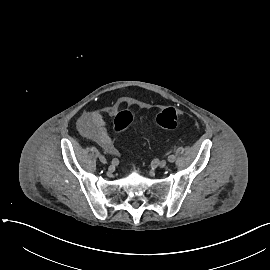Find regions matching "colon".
Segmentation results:
<instances>
[{"label":"colon","mask_w":270,"mask_h":270,"mask_svg":"<svg viewBox=\"0 0 270 270\" xmlns=\"http://www.w3.org/2000/svg\"><path fill=\"white\" fill-rule=\"evenodd\" d=\"M133 121L130 111H120L113 122V129L116 133H124ZM179 112L174 107H164L156 116L157 125L165 130H173L179 126Z\"/></svg>","instance_id":"colon-1"}]
</instances>
